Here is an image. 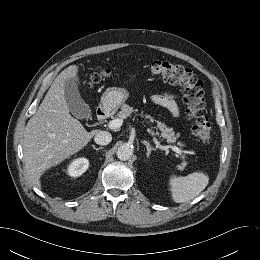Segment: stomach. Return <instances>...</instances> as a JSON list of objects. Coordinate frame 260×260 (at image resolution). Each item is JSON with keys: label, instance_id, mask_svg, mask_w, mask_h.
Listing matches in <instances>:
<instances>
[{"label": "stomach", "instance_id": "1", "mask_svg": "<svg viewBox=\"0 0 260 260\" xmlns=\"http://www.w3.org/2000/svg\"><path fill=\"white\" fill-rule=\"evenodd\" d=\"M129 97V92L125 88L112 87L108 88L102 98L101 102L106 109H117Z\"/></svg>", "mask_w": 260, "mask_h": 260}]
</instances>
